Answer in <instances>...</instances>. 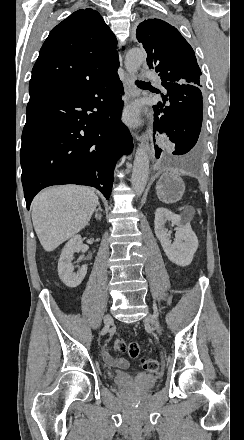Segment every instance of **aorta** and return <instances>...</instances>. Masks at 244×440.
I'll use <instances>...</instances> for the list:
<instances>
[{"mask_svg":"<svg viewBox=\"0 0 244 440\" xmlns=\"http://www.w3.org/2000/svg\"><path fill=\"white\" fill-rule=\"evenodd\" d=\"M146 57V52L143 49L134 48L127 52L125 57V67L132 77L135 76L141 64L146 60ZM148 175V148L144 144H139L135 153L131 176L132 189L136 195H141L143 193L147 184Z\"/></svg>","mask_w":244,"mask_h":440,"instance_id":"aorta-1","label":"aorta"}]
</instances>
